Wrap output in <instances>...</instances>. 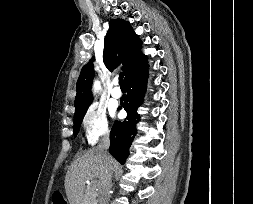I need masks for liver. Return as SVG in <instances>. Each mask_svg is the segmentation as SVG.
I'll list each match as a JSON object with an SVG mask.
<instances>
[{"label":"liver","mask_w":253,"mask_h":204,"mask_svg":"<svg viewBox=\"0 0 253 204\" xmlns=\"http://www.w3.org/2000/svg\"><path fill=\"white\" fill-rule=\"evenodd\" d=\"M110 158L113 162L111 156ZM104 171V157L98 148L89 149L78 157L69 167L65 177V190L69 204H83L86 181L98 178L101 182Z\"/></svg>","instance_id":"6515ba94"}]
</instances>
